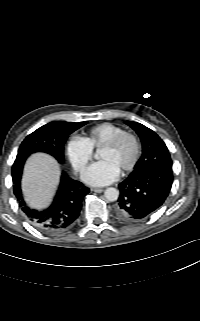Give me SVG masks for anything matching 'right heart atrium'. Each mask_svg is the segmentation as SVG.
<instances>
[{
  "instance_id": "d8ad5b80",
  "label": "right heart atrium",
  "mask_w": 200,
  "mask_h": 321,
  "mask_svg": "<svg viewBox=\"0 0 200 321\" xmlns=\"http://www.w3.org/2000/svg\"><path fill=\"white\" fill-rule=\"evenodd\" d=\"M66 155L73 168L80 172L91 160L93 150L83 137L73 136L67 141Z\"/></svg>"
}]
</instances>
